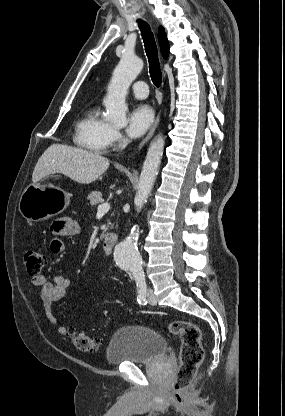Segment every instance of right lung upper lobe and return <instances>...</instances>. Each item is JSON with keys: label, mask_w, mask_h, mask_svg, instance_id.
<instances>
[{"label": "right lung upper lobe", "mask_w": 285, "mask_h": 416, "mask_svg": "<svg viewBox=\"0 0 285 416\" xmlns=\"http://www.w3.org/2000/svg\"><path fill=\"white\" fill-rule=\"evenodd\" d=\"M158 41L161 49V54L164 58L169 55V43L163 27H159Z\"/></svg>", "instance_id": "cb5924a9"}]
</instances>
